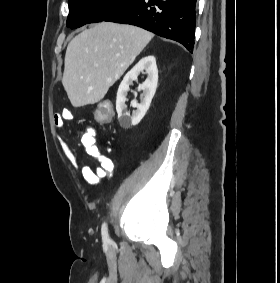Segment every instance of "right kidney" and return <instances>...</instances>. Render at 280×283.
<instances>
[{"mask_svg":"<svg viewBox=\"0 0 280 283\" xmlns=\"http://www.w3.org/2000/svg\"><path fill=\"white\" fill-rule=\"evenodd\" d=\"M148 74L147 79L139 85L138 90H142L141 101L137 103L132 101V107L136 108L132 115L127 111L126 96L129 86L133 81L137 80L138 75L142 71ZM158 84V69L154 56H146L142 58L123 78L117 92L116 111L118 120L122 127L129 128L137 125L146 114L151 104L152 98L156 92Z\"/></svg>","mask_w":280,"mask_h":283,"instance_id":"ca27d5eb","label":"right kidney"}]
</instances>
